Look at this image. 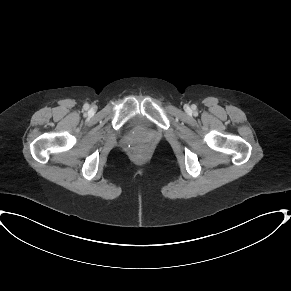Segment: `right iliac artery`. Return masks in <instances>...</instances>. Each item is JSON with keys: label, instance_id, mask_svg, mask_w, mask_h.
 <instances>
[{"label": "right iliac artery", "instance_id": "right-iliac-artery-1", "mask_svg": "<svg viewBox=\"0 0 291 291\" xmlns=\"http://www.w3.org/2000/svg\"><path fill=\"white\" fill-rule=\"evenodd\" d=\"M88 108H89V105L88 104H85L84 105V109L87 110Z\"/></svg>", "mask_w": 291, "mask_h": 291}]
</instances>
